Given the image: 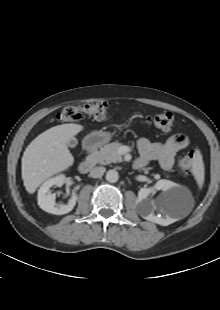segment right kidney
Segmentation results:
<instances>
[{
    "label": "right kidney",
    "instance_id": "1",
    "mask_svg": "<svg viewBox=\"0 0 220 310\" xmlns=\"http://www.w3.org/2000/svg\"><path fill=\"white\" fill-rule=\"evenodd\" d=\"M65 182V176L63 174L57 175L53 178L46 180L38 190V205L40 208L48 213L55 215H63L69 213L74 208L77 195L73 194L69 199L67 205L56 206L55 194L50 193L49 189L56 185L61 187Z\"/></svg>",
    "mask_w": 220,
    "mask_h": 310
}]
</instances>
